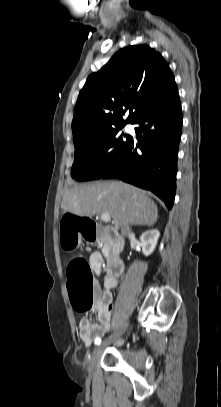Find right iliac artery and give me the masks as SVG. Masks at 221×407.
Returning <instances> with one entry per match:
<instances>
[{
  "instance_id": "right-iliac-artery-1",
  "label": "right iliac artery",
  "mask_w": 221,
  "mask_h": 407,
  "mask_svg": "<svg viewBox=\"0 0 221 407\" xmlns=\"http://www.w3.org/2000/svg\"><path fill=\"white\" fill-rule=\"evenodd\" d=\"M100 343H101V339H100V338H96V339H95V344H96V345H99Z\"/></svg>"
}]
</instances>
